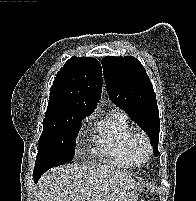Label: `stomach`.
I'll list each match as a JSON object with an SVG mask.
<instances>
[{"mask_svg":"<svg viewBox=\"0 0 196 201\" xmlns=\"http://www.w3.org/2000/svg\"><path fill=\"white\" fill-rule=\"evenodd\" d=\"M124 201H137V196L133 191H131Z\"/></svg>","mask_w":196,"mask_h":201,"instance_id":"stomach-1","label":"stomach"}]
</instances>
